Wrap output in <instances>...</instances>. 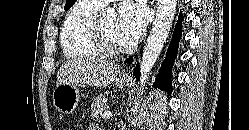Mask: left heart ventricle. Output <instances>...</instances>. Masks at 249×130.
<instances>
[{
    "label": "left heart ventricle",
    "instance_id": "obj_1",
    "mask_svg": "<svg viewBox=\"0 0 249 130\" xmlns=\"http://www.w3.org/2000/svg\"><path fill=\"white\" fill-rule=\"evenodd\" d=\"M101 25L107 37L115 44L121 45L117 35L116 19L114 17H101Z\"/></svg>",
    "mask_w": 249,
    "mask_h": 130
}]
</instances>
